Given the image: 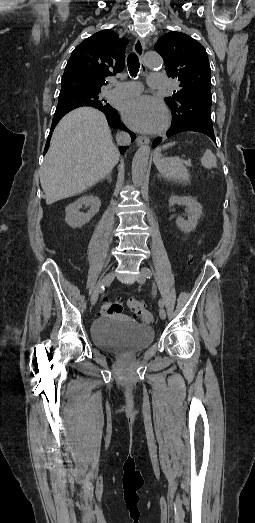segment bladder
<instances>
[{"instance_id":"bladder-1","label":"bladder","mask_w":255,"mask_h":523,"mask_svg":"<svg viewBox=\"0 0 255 523\" xmlns=\"http://www.w3.org/2000/svg\"><path fill=\"white\" fill-rule=\"evenodd\" d=\"M91 339L98 348L108 351L128 349L134 353L151 345L154 332L146 324L104 317L92 324Z\"/></svg>"}]
</instances>
